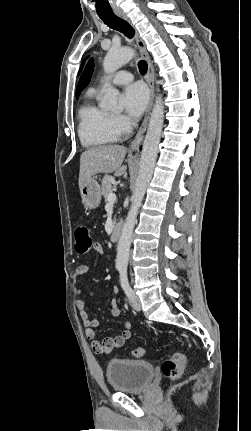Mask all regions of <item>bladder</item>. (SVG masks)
<instances>
[{"mask_svg": "<svg viewBox=\"0 0 251 431\" xmlns=\"http://www.w3.org/2000/svg\"><path fill=\"white\" fill-rule=\"evenodd\" d=\"M153 376L154 366L146 361L112 359L106 366L107 381L117 392H141L148 387Z\"/></svg>", "mask_w": 251, "mask_h": 431, "instance_id": "bladder-1", "label": "bladder"}]
</instances>
